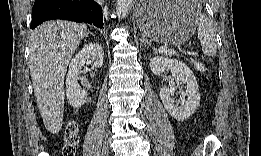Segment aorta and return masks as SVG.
<instances>
[{
  "label": "aorta",
  "mask_w": 261,
  "mask_h": 156,
  "mask_svg": "<svg viewBox=\"0 0 261 156\" xmlns=\"http://www.w3.org/2000/svg\"><path fill=\"white\" fill-rule=\"evenodd\" d=\"M131 6H132V0H117L116 12L119 19H123L128 15Z\"/></svg>",
  "instance_id": "aorta-1"
}]
</instances>
